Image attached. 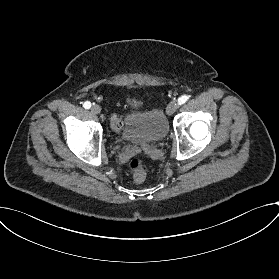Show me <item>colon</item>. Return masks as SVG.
Masks as SVG:
<instances>
[{
  "label": "colon",
  "instance_id": "colon-1",
  "mask_svg": "<svg viewBox=\"0 0 279 279\" xmlns=\"http://www.w3.org/2000/svg\"><path fill=\"white\" fill-rule=\"evenodd\" d=\"M130 108H137L141 106V102L133 100L129 101ZM110 124L113 130L119 131L122 126V121L117 115H112ZM129 173L132 175L136 183H142L146 179V165L144 158L140 156L133 157L127 165Z\"/></svg>",
  "mask_w": 279,
  "mask_h": 279
}]
</instances>
